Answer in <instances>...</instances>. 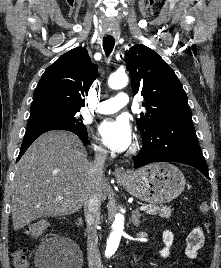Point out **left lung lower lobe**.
<instances>
[{
    "label": "left lung lower lobe",
    "instance_id": "1",
    "mask_svg": "<svg viewBox=\"0 0 221 268\" xmlns=\"http://www.w3.org/2000/svg\"><path fill=\"white\" fill-rule=\"evenodd\" d=\"M142 140L143 147L133 158L135 168L153 162H179L195 167L209 178L192 121L159 122Z\"/></svg>",
    "mask_w": 221,
    "mask_h": 268
}]
</instances>
